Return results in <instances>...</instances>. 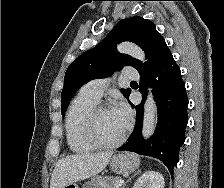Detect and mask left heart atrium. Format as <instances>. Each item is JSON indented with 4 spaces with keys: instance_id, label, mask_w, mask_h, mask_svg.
<instances>
[{
    "instance_id": "39dd6f15",
    "label": "left heart atrium",
    "mask_w": 224,
    "mask_h": 188,
    "mask_svg": "<svg viewBox=\"0 0 224 188\" xmlns=\"http://www.w3.org/2000/svg\"><path fill=\"white\" fill-rule=\"evenodd\" d=\"M112 111L125 127L129 124L131 119V110L125 102H118L113 107Z\"/></svg>"
}]
</instances>
